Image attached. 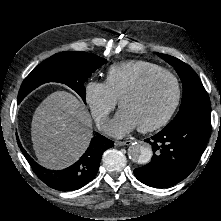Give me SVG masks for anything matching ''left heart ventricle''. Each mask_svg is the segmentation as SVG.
Listing matches in <instances>:
<instances>
[{"instance_id":"left-heart-ventricle-1","label":"left heart ventricle","mask_w":221,"mask_h":221,"mask_svg":"<svg viewBox=\"0 0 221 221\" xmlns=\"http://www.w3.org/2000/svg\"><path fill=\"white\" fill-rule=\"evenodd\" d=\"M175 94L172 80L162 76L151 81L140 93L122 100L120 109L127 111L137 126L159 121L170 109Z\"/></svg>"}]
</instances>
